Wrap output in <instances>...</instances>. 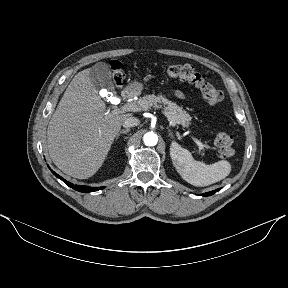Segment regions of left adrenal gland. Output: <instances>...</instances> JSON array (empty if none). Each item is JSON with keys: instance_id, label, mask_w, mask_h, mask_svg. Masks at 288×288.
<instances>
[{"instance_id": "obj_1", "label": "left adrenal gland", "mask_w": 288, "mask_h": 288, "mask_svg": "<svg viewBox=\"0 0 288 288\" xmlns=\"http://www.w3.org/2000/svg\"><path fill=\"white\" fill-rule=\"evenodd\" d=\"M168 131H169V135H170L172 138H174V135H173L172 131H171L170 129H168Z\"/></svg>"}]
</instances>
